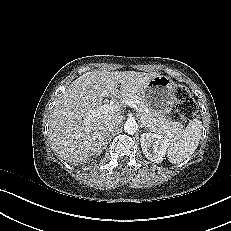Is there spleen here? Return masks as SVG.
Listing matches in <instances>:
<instances>
[{"mask_svg": "<svg viewBox=\"0 0 231 231\" xmlns=\"http://www.w3.org/2000/svg\"><path fill=\"white\" fill-rule=\"evenodd\" d=\"M202 122L190 121L186 129L177 137L170 136L167 144V157L171 163H180L191 156L199 145Z\"/></svg>", "mask_w": 231, "mask_h": 231, "instance_id": "obj_1", "label": "spleen"}]
</instances>
